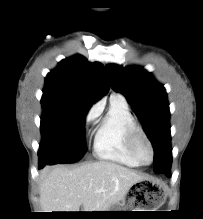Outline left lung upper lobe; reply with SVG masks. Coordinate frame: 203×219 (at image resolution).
Listing matches in <instances>:
<instances>
[{
  "instance_id": "left-lung-upper-lobe-1",
  "label": "left lung upper lobe",
  "mask_w": 203,
  "mask_h": 219,
  "mask_svg": "<svg viewBox=\"0 0 203 219\" xmlns=\"http://www.w3.org/2000/svg\"><path fill=\"white\" fill-rule=\"evenodd\" d=\"M110 85L122 93L141 121L154 147V170L171 166L172 149L170 112L166 90L142 67L109 64L106 67Z\"/></svg>"
}]
</instances>
